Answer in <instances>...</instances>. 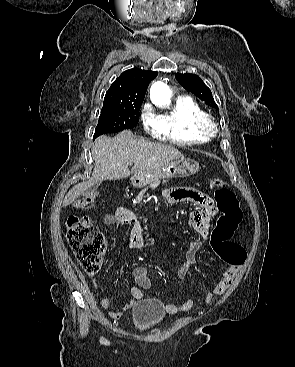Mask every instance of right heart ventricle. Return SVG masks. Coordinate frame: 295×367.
Instances as JSON below:
<instances>
[{"label": "right heart ventricle", "mask_w": 295, "mask_h": 367, "mask_svg": "<svg viewBox=\"0 0 295 367\" xmlns=\"http://www.w3.org/2000/svg\"><path fill=\"white\" fill-rule=\"evenodd\" d=\"M206 116L203 109L190 97L176 100L170 111L156 118L160 138L179 145H197L209 140L200 129Z\"/></svg>", "instance_id": "right-heart-ventricle-1"}]
</instances>
